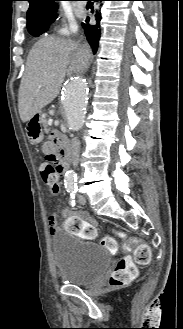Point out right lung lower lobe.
<instances>
[{
	"instance_id": "98d812e1",
	"label": "right lung lower lobe",
	"mask_w": 183,
	"mask_h": 329,
	"mask_svg": "<svg viewBox=\"0 0 183 329\" xmlns=\"http://www.w3.org/2000/svg\"><path fill=\"white\" fill-rule=\"evenodd\" d=\"M95 1H102V0H95ZM95 24H90V18L87 17L85 20V23H82V26L85 30V35L87 37V40L93 50V53L95 54L98 46H99V40L101 37V27H100V20H101V14L100 12L96 11L95 13Z\"/></svg>"
}]
</instances>
